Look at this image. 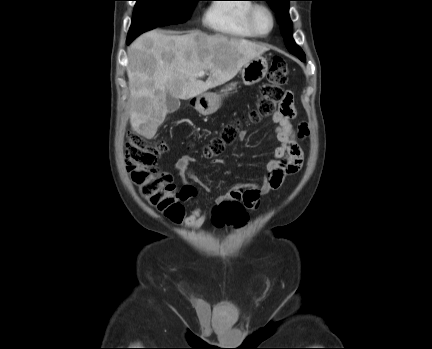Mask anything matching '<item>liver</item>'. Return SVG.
<instances>
[{
	"instance_id": "1",
	"label": "liver",
	"mask_w": 432,
	"mask_h": 349,
	"mask_svg": "<svg viewBox=\"0 0 432 349\" xmlns=\"http://www.w3.org/2000/svg\"><path fill=\"white\" fill-rule=\"evenodd\" d=\"M268 50L242 38L198 30L184 35L144 33L128 48L132 129L153 138L168 112L167 94L183 100L196 97L231 80ZM200 71L209 72L205 82L198 76Z\"/></svg>"
}]
</instances>
